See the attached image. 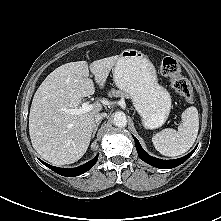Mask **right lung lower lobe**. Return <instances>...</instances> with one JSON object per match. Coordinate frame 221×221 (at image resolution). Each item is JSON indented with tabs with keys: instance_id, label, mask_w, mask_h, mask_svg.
<instances>
[{
	"instance_id": "right-lung-lower-lobe-1",
	"label": "right lung lower lobe",
	"mask_w": 221,
	"mask_h": 221,
	"mask_svg": "<svg viewBox=\"0 0 221 221\" xmlns=\"http://www.w3.org/2000/svg\"><path fill=\"white\" fill-rule=\"evenodd\" d=\"M97 159H98V155L94 159H92L91 161H89L79 167L71 168V169L54 167V166H51L41 160L40 161L45 166H47L48 168L53 170L54 172H56L62 176L72 177V176L81 175V174L85 173L86 171H88L89 169H91L94 166V164L96 163Z\"/></svg>"
}]
</instances>
